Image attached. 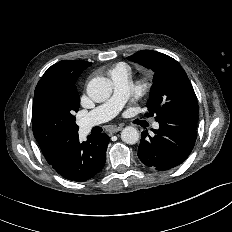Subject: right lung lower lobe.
I'll use <instances>...</instances> for the list:
<instances>
[{
	"instance_id": "right-lung-lower-lobe-1",
	"label": "right lung lower lobe",
	"mask_w": 232,
	"mask_h": 232,
	"mask_svg": "<svg viewBox=\"0 0 232 232\" xmlns=\"http://www.w3.org/2000/svg\"><path fill=\"white\" fill-rule=\"evenodd\" d=\"M108 143L109 137L105 133L90 135L87 141L82 143L76 135L64 145L52 167L68 180L86 181L103 168Z\"/></svg>"
}]
</instances>
